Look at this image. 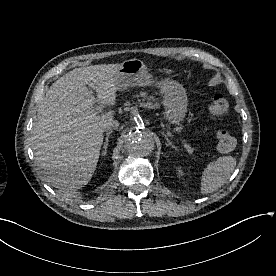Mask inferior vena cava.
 Returning <instances> with one entry per match:
<instances>
[{
	"label": "inferior vena cava",
	"instance_id": "1",
	"mask_svg": "<svg viewBox=\"0 0 276 276\" xmlns=\"http://www.w3.org/2000/svg\"><path fill=\"white\" fill-rule=\"evenodd\" d=\"M118 127H119V122L117 120L110 119L104 123L103 130L108 133V132H112V130L118 129Z\"/></svg>",
	"mask_w": 276,
	"mask_h": 276
}]
</instances>
